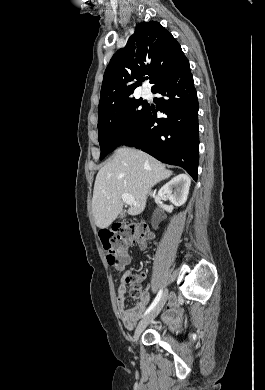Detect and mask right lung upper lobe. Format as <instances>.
<instances>
[{
    "label": "right lung upper lobe",
    "instance_id": "1",
    "mask_svg": "<svg viewBox=\"0 0 265 390\" xmlns=\"http://www.w3.org/2000/svg\"><path fill=\"white\" fill-rule=\"evenodd\" d=\"M187 61L179 43L160 23L138 24L105 70L98 113L132 98L134 90L148 77L153 90Z\"/></svg>",
    "mask_w": 265,
    "mask_h": 390
}]
</instances>
